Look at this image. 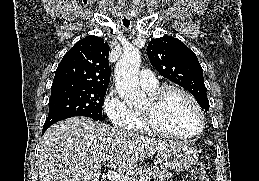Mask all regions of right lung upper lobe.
<instances>
[{"mask_svg": "<svg viewBox=\"0 0 259 181\" xmlns=\"http://www.w3.org/2000/svg\"><path fill=\"white\" fill-rule=\"evenodd\" d=\"M108 56L109 45L101 37L88 36L81 39L63 56L52 87L108 88Z\"/></svg>", "mask_w": 259, "mask_h": 181, "instance_id": "1", "label": "right lung upper lobe"}]
</instances>
